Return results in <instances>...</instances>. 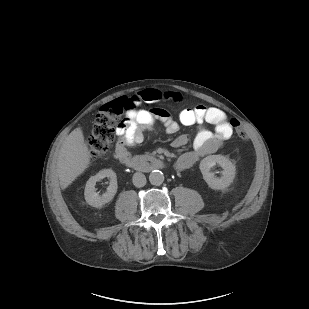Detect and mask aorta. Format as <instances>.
<instances>
[{
  "mask_svg": "<svg viewBox=\"0 0 309 309\" xmlns=\"http://www.w3.org/2000/svg\"><path fill=\"white\" fill-rule=\"evenodd\" d=\"M149 181L152 185L159 186L164 182V174L159 170H154L149 175Z\"/></svg>",
  "mask_w": 309,
  "mask_h": 309,
  "instance_id": "1",
  "label": "aorta"
}]
</instances>
